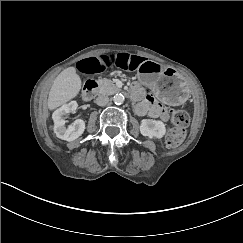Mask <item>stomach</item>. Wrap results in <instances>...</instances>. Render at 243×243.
I'll list each match as a JSON object with an SVG mask.
<instances>
[{
	"instance_id": "obj_1",
	"label": "stomach",
	"mask_w": 243,
	"mask_h": 243,
	"mask_svg": "<svg viewBox=\"0 0 243 243\" xmlns=\"http://www.w3.org/2000/svg\"><path fill=\"white\" fill-rule=\"evenodd\" d=\"M137 75L140 83L152 89L166 104L181 105L188 98L189 92L185 81L172 67L146 61L138 69Z\"/></svg>"
}]
</instances>
